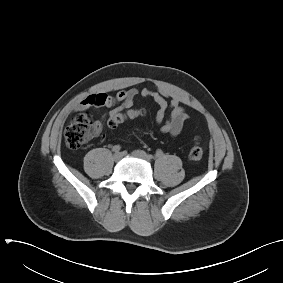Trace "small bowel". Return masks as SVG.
Instances as JSON below:
<instances>
[{
  "instance_id": "c3829d8e",
  "label": "small bowel",
  "mask_w": 283,
  "mask_h": 283,
  "mask_svg": "<svg viewBox=\"0 0 283 283\" xmlns=\"http://www.w3.org/2000/svg\"><path fill=\"white\" fill-rule=\"evenodd\" d=\"M138 96L151 98L158 106L155 121L160 125L159 131L161 133L177 136L181 132L184 122L188 119V114L180 99L162 88H130L120 90L115 95L106 93L90 94L76 103L74 110L84 111L91 107L110 109L104 114L102 120L95 122V133L98 134L102 130L105 117L111 118L119 112L132 109L134 100ZM167 111H169V116L166 118Z\"/></svg>"
}]
</instances>
